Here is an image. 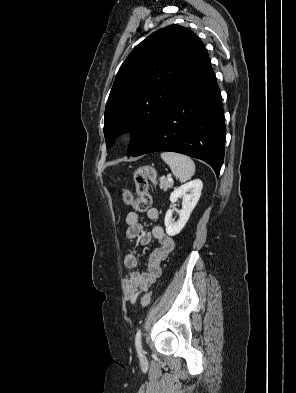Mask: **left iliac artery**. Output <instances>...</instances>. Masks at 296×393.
Instances as JSON below:
<instances>
[{
    "label": "left iliac artery",
    "instance_id": "left-iliac-artery-1",
    "mask_svg": "<svg viewBox=\"0 0 296 393\" xmlns=\"http://www.w3.org/2000/svg\"><path fill=\"white\" fill-rule=\"evenodd\" d=\"M141 332H142V330L138 329L136 336H135V346H136L137 352L139 354L142 353Z\"/></svg>",
    "mask_w": 296,
    "mask_h": 393
}]
</instances>
